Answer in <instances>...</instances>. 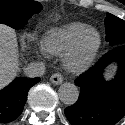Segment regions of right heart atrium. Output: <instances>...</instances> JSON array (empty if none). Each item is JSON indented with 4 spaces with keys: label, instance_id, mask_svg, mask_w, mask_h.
Here are the masks:
<instances>
[{
    "label": "right heart atrium",
    "instance_id": "1",
    "mask_svg": "<svg viewBox=\"0 0 125 125\" xmlns=\"http://www.w3.org/2000/svg\"><path fill=\"white\" fill-rule=\"evenodd\" d=\"M37 48H38V52L40 54H42V55H46L47 54V51L45 50L44 45L42 43H39Z\"/></svg>",
    "mask_w": 125,
    "mask_h": 125
}]
</instances>
